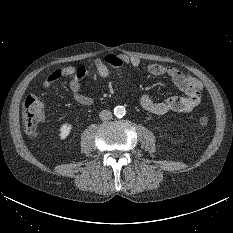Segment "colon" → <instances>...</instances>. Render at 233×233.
Instances as JSON below:
<instances>
[{
    "label": "colon",
    "mask_w": 233,
    "mask_h": 233,
    "mask_svg": "<svg viewBox=\"0 0 233 233\" xmlns=\"http://www.w3.org/2000/svg\"><path fill=\"white\" fill-rule=\"evenodd\" d=\"M23 124L27 134H37L38 127L44 119V105L37 95H29L23 103ZM209 124V118L202 116L199 118V125L204 127Z\"/></svg>",
    "instance_id": "1"
}]
</instances>
